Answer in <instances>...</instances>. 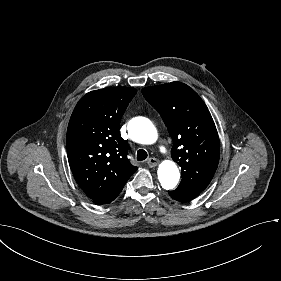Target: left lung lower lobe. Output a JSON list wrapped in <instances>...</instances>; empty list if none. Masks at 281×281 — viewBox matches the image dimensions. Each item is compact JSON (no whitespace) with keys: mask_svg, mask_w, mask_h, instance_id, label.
I'll list each match as a JSON object with an SVG mask.
<instances>
[{"mask_svg":"<svg viewBox=\"0 0 281 281\" xmlns=\"http://www.w3.org/2000/svg\"><path fill=\"white\" fill-rule=\"evenodd\" d=\"M169 195L180 202H186L192 200L196 197V195L185 192L183 190L176 189L175 191H168Z\"/></svg>","mask_w":281,"mask_h":281,"instance_id":"0a47b994","label":"left lung lower lobe"}]
</instances>
